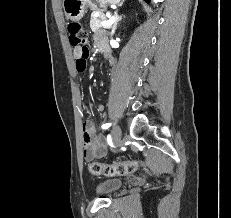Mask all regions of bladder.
Here are the masks:
<instances>
[{"label": "bladder", "mask_w": 231, "mask_h": 218, "mask_svg": "<svg viewBox=\"0 0 231 218\" xmlns=\"http://www.w3.org/2000/svg\"><path fill=\"white\" fill-rule=\"evenodd\" d=\"M123 185L121 179H109L98 183L96 192L100 195H110L119 190Z\"/></svg>", "instance_id": "bladder-1"}]
</instances>
